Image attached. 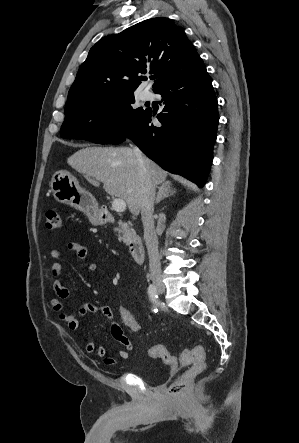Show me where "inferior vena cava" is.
<instances>
[{"label":"inferior vena cava","instance_id":"inferior-vena-cava-1","mask_svg":"<svg viewBox=\"0 0 299 443\" xmlns=\"http://www.w3.org/2000/svg\"><path fill=\"white\" fill-rule=\"evenodd\" d=\"M133 152L137 158L140 175V207L141 217L144 227V239L147 246L149 256V267L152 276L161 274V264L158 251V238L154 229V200H155V183L151 179L149 170L145 164L141 151L136 146Z\"/></svg>","mask_w":299,"mask_h":443}]
</instances>
